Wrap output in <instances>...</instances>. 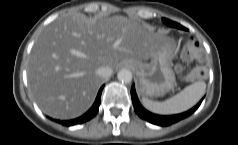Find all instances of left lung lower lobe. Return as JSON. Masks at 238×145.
Masks as SVG:
<instances>
[{"mask_svg": "<svg viewBox=\"0 0 238 145\" xmlns=\"http://www.w3.org/2000/svg\"><path fill=\"white\" fill-rule=\"evenodd\" d=\"M178 25H179V29L186 30L185 27L181 26L180 24ZM131 97H132V102L134 105V110L138 114V116L152 124H156L159 126H169L171 124H174L188 117L189 115H191L194 111L198 109V107L200 106L202 102L201 100L196 106H194L192 109L188 110L187 112L177 114V115L161 116V115L150 113L149 111H147L146 109L142 107L136 95L134 85L131 88Z\"/></svg>", "mask_w": 238, "mask_h": 145, "instance_id": "1", "label": "left lung lower lobe"}]
</instances>
